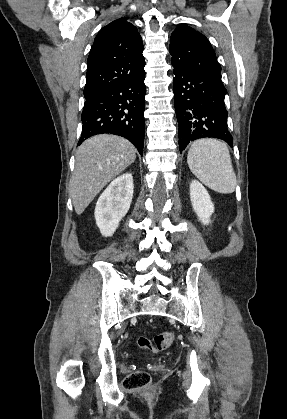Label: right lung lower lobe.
Listing matches in <instances>:
<instances>
[{"mask_svg": "<svg viewBox=\"0 0 287 419\" xmlns=\"http://www.w3.org/2000/svg\"><path fill=\"white\" fill-rule=\"evenodd\" d=\"M145 71L86 99L82 133L87 138L110 133L128 139L142 155L144 145Z\"/></svg>", "mask_w": 287, "mask_h": 419, "instance_id": "1", "label": "right lung lower lobe"}]
</instances>
